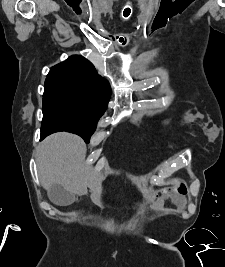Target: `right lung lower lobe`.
Returning <instances> with one entry per match:
<instances>
[{
	"label": "right lung lower lobe",
	"mask_w": 225,
	"mask_h": 267,
	"mask_svg": "<svg viewBox=\"0 0 225 267\" xmlns=\"http://www.w3.org/2000/svg\"><path fill=\"white\" fill-rule=\"evenodd\" d=\"M60 130V128L52 125V124H48L45 125L42 123V127H41V139L45 138L46 136L54 133V132H58Z\"/></svg>",
	"instance_id": "right-lung-lower-lobe-1"
}]
</instances>
